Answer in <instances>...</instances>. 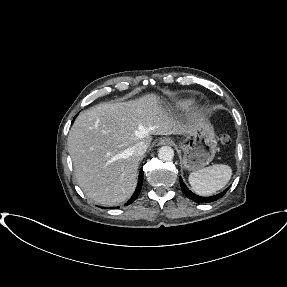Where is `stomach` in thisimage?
<instances>
[{"instance_id": "0dacf381", "label": "stomach", "mask_w": 287, "mask_h": 287, "mask_svg": "<svg viewBox=\"0 0 287 287\" xmlns=\"http://www.w3.org/2000/svg\"><path fill=\"white\" fill-rule=\"evenodd\" d=\"M183 151L182 163L189 171L199 170L208 165L217 150V141L212 125L207 121H200L181 142Z\"/></svg>"}]
</instances>
